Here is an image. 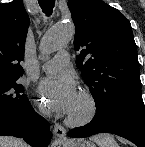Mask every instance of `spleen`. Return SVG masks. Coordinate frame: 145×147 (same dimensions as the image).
<instances>
[{
    "label": "spleen",
    "mask_w": 145,
    "mask_h": 147,
    "mask_svg": "<svg viewBox=\"0 0 145 147\" xmlns=\"http://www.w3.org/2000/svg\"><path fill=\"white\" fill-rule=\"evenodd\" d=\"M99 147H119L113 136L109 134H101L92 138Z\"/></svg>",
    "instance_id": "1"
}]
</instances>
